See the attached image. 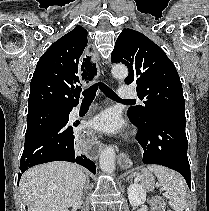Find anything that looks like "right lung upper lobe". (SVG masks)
Segmentation results:
<instances>
[{
    "instance_id": "right-lung-upper-lobe-1",
    "label": "right lung upper lobe",
    "mask_w": 209,
    "mask_h": 211,
    "mask_svg": "<svg viewBox=\"0 0 209 211\" xmlns=\"http://www.w3.org/2000/svg\"><path fill=\"white\" fill-rule=\"evenodd\" d=\"M87 31L77 26L52 44L39 59L30 84L28 112L71 108L78 104L81 81H91L97 68L84 56Z\"/></svg>"
}]
</instances>
